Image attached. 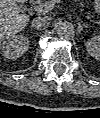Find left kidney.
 <instances>
[{
	"instance_id": "left-kidney-1",
	"label": "left kidney",
	"mask_w": 100,
	"mask_h": 118,
	"mask_svg": "<svg viewBox=\"0 0 100 118\" xmlns=\"http://www.w3.org/2000/svg\"><path fill=\"white\" fill-rule=\"evenodd\" d=\"M87 52L96 60H100V37L95 36L85 43Z\"/></svg>"
}]
</instances>
